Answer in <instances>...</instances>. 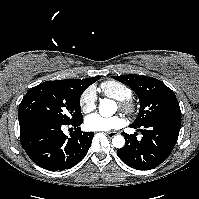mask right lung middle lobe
<instances>
[{
  "label": "right lung middle lobe",
  "instance_id": "obj_1",
  "mask_svg": "<svg viewBox=\"0 0 199 199\" xmlns=\"http://www.w3.org/2000/svg\"><path fill=\"white\" fill-rule=\"evenodd\" d=\"M85 89L70 79L41 83L24 96L18 118H43L63 124L76 122L82 119L80 96Z\"/></svg>",
  "mask_w": 199,
  "mask_h": 199
}]
</instances>
